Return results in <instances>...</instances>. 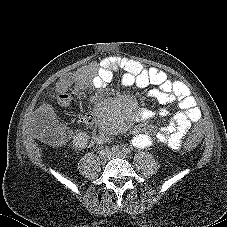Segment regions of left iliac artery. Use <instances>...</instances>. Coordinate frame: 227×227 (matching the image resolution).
Returning <instances> with one entry per match:
<instances>
[{
  "instance_id": "1",
  "label": "left iliac artery",
  "mask_w": 227,
  "mask_h": 227,
  "mask_svg": "<svg viewBox=\"0 0 227 227\" xmlns=\"http://www.w3.org/2000/svg\"><path fill=\"white\" fill-rule=\"evenodd\" d=\"M122 151H123L124 153H126V154H130V153H131L130 149H128V148H123Z\"/></svg>"
}]
</instances>
